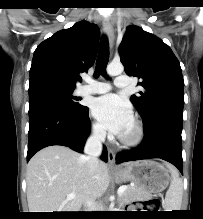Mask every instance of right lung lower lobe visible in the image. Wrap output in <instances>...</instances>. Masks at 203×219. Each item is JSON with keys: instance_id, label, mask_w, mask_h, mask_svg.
I'll return each instance as SVG.
<instances>
[{"instance_id": "1", "label": "right lung lower lobe", "mask_w": 203, "mask_h": 219, "mask_svg": "<svg viewBox=\"0 0 203 219\" xmlns=\"http://www.w3.org/2000/svg\"><path fill=\"white\" fill-rule=\"evenodd\" d=\"M88 108L71 111L48 101L29 103V132L27 162L39 150L52 145H62L81 152L90 132ZM101 158L108 160L104 147Z\"/></svg>"}]
</instances>
